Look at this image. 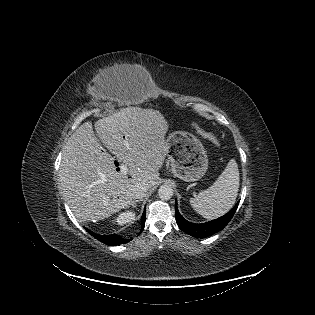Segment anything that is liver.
I'll return each instance as SVG.
<instances>
[{"label":"liver","instance_id":"liver-1","mask_svg":"<svg viewBox=\"0 0 315 315\" xmlns=\"http://www.w3.org/2000/svg\"><path fill=\"white\" fill-rule=\"evenodd\" d=\"M134 71V66H122ZM103 145L128 174L116 171L114 158L85 122L69 137L62 152L60 180L63 196L81 222H95L119 212L133 199V189L159 182L158 170L169 151L168 122L154 109L127 107L94 124Z\"/></svg>","mask_w":315,"mask_h":315}]
</instances>
